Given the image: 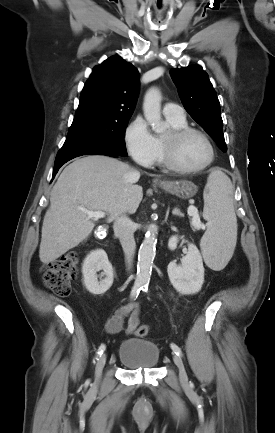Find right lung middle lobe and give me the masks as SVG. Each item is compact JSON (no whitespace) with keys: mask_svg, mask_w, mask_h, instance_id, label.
<instances>
[{"mask_svg":"<svg viewBox=\"0 0 275 433\" xmlns=\"http://www.w3.org/2000/svg\"><path fill=\"white\" fill-rule=\"evenodd\" d=\"M128 121L129 118L73 120L67 139L58 152L55 162L96 153L127 156L123 137Z\"/></svg>","mask_w":275,"mask_h":433,"instance_id":"1","label":"right lung middle lobe"}]
</instances>
